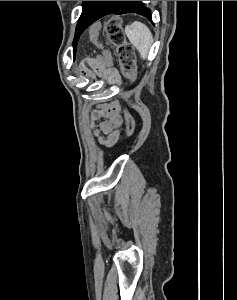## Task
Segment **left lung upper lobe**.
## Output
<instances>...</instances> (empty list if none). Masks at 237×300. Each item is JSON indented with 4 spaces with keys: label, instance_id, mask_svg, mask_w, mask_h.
Here are the masks:
<instances>
[{
    "label": "left lung upper lobe",
    "instance_id": "1",
    "mask_svg": "<svg viewBox=\"0 0 237 300\" xmlns=\"http://www.w3.org/2000/svg\"><path fill=\"white\" fill-rule=\"evenodd\" d=\"M108 3L109 1H83L82 14L78 20L73 40L74 57L81 34L97 19L98 15ZM124 4L128 11L140 14L145 16L148 20H151V11L145 7L142 1H124Z\"/></svg>",
    "mask_w": 237,
    "mask_h": 300
}]
</instances>
